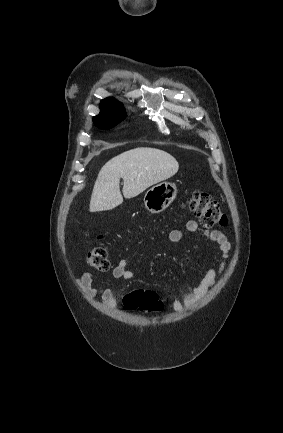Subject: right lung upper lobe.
<instances>
[{
	"label": "right lung upper lobe",
	"instance_id": "right-lung-upper-lobe-1",
	"mask_svg": "<svg viewBox=\"0 0 283 433\" xmlns=\"http://www.w3.org/2000/svg\"><path fill=\"white\" fill-rule=\"evenodd\" d=\"M100 109H101V112L99 115L125 112L123 105L120 102L115 101L112 98L104 99L100 104ZM99 115H97V116H99Z\"/></svg>",
	"mask_w": 283,
	"mask_h": 433
}]
</instances>
